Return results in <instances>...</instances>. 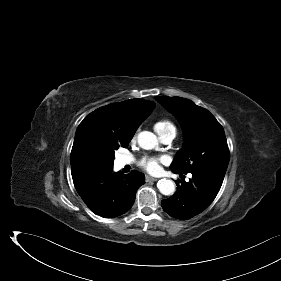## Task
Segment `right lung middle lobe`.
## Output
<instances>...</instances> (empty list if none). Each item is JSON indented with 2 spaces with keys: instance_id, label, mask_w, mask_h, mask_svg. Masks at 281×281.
<instances>
[{
  "instance_id": "dd1d6c3e",
  "label": "right lung middle lobe",
  "mask_w": 281,
  "mask_h": 281,
  "mask_svg": "<svg viewBox=\"0 0 281 281\" xmlns=\"http://www.w3.org/2000/svg\"><path fill=\"white\" fill-rule=\"evenodd\" d=\"M128 144H129V143H126V144L122 145V147H127ZM118 148H119V147H117L115 150H117ZM112 160H114V156H113V159H112ZM112 165H113V162H112Z\"/></svg>"
}]
</instances>
